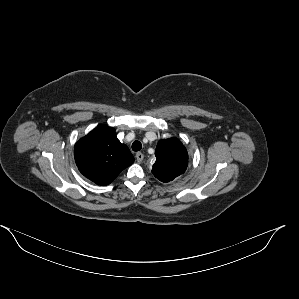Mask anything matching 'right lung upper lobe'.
<instances>
[{
    "instance_id": "obj_1",
    "label": "right lung upper lobe",
    "mask_w": 299,
    "mask_h": 299,
    "mask_svg": "<svg viewBox=\"0 0 299 299\" xmlns=\"http://www.w3.org/2000/svg\"><path fill=\"white\" fill-rule=\"evenodd\" d=\"M74 157L79 171L102 186L110 184L134 162L129 148L107 126L97 127L81 138L75 144Z\"/></svg>"
}]
</instances>
